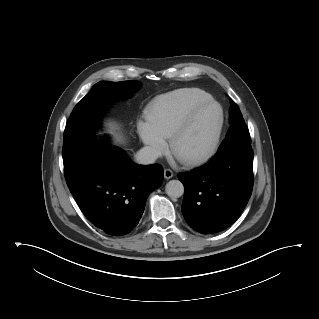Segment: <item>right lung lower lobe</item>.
I'll use <instances>...</instances> for the list:
<instances>
[{"mask_svg":"<svg viewBox=\"0 0 319 319\" xmlns=\"http://www.w3.org/2000/svg\"><path fill=\"white\" fill-rule=\"evenodd\" d=\"M64 172L85 217L111 236L136 227L148 194L163 181L161 165H137L123 151L94 137L64 162Z\"/></svg>","mask_w":319,"mask_h":319,"instance_id":"98d812e1","label":"right lung lower lobe"}]
</instances>
